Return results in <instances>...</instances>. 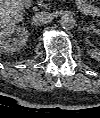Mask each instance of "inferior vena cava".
<instances>
[{"mask_svg":"<svg viewBox=\"0 0 100 118\" xmlns=\"http://www.w3.org/2000/svg\"><path fill=\"white\" fill-rule=\"evenodd\" d=\"M50 15L46 12H39L33 16V23L37 25H44L50 22Z\"/></svg>","mask_w":100,"mask_h":118,"instance_id":"1","label":"inferior vena cava"}]
</instances>
